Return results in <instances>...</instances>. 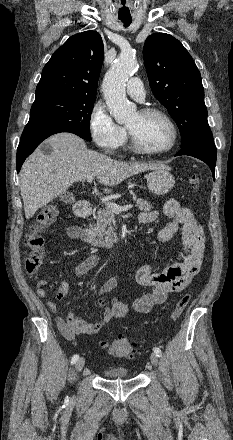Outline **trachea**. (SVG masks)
Segmentation results:
<instances>
[{"label":"trachea","instance_id":"obj_1","mask_svg":"<svg viewBox=\"0 0 233 440\" xmlns=\"http://www.w3.org/2000/svg\"><path fill=\"white\" fill-rule=\"evenodd\" d=\"M123 23L125 27H128L130 25V23L132 22L131 19H120Z\"/></svg>","mask_w":233,"mask_h":440}]
</instances>
